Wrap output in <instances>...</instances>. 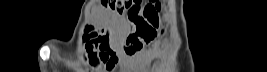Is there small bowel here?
Here are the masks:
<instances>
[{"mask_svg": "<svg viewBox=\"0 0 267 72\" xmlns=\"http://www.w3.org/2000/svg\"><path fill=\"white\" fill-rule=\"evenodd\" d=\"M101 40L108 41V36H107L106 30H101L100 32L94 33L92 36H90L88 38V41L84 44V46L86 45L87 48L94 49V48L98 47ZM157 49H158L157 47H154L153 49H151L147 52L139 53V54H136L133 56L126 55L119 49H116L115 51H113L112 49H108V50L104 51V59H103L104 62L103 63L112 66L119 59H122L128 63H133L136 65L144 64L147 61L153 59L157 55ZM84 59H89V56L86 54ZM91 59L95 63L100 62V60L97 58L95 59V58L91 57Z\"/></svg>", "mask_w": 267, "mask_h": 72, "instance_id": "small-bowel-1", "label": "small bowel"}]
</instances>
